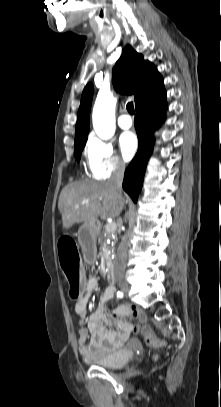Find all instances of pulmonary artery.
<instances>
[{
  "label": "pulmonary artery",
  "instance_id": "e3ab8cb5",
  "mask_svg": "<svg viewBox=\"0 0 221 407\" xmlns=\"http://www.w3.org/2000/svg\"><path fill=\"white\" fill-rule=\"evenodd\" d=\"M118 125L122 129H129L133 125L131 117L124 113L118 118Z\"/></svg>",
  "mask_w": 221,
  "mask_h": 407
}]
</instances>
